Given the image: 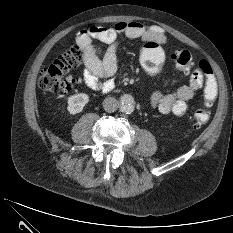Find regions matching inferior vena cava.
<instances>
[{
    "label": "inferior vena cava",
    "instance_id": "obj_1",
    "mask_svg": "<svg viewBox=\"0 0 233 233\" xmlns=\"http://www.w3.org/2000/svg\"><path fill=\"white\" fill-rule=\"evenodd\" d=\"M118 101L113 97H107L103 101V108L108 113H113L118 108Z\"/></svg>",
    "mask_w": 233,
    "mask_h": 233
}]
</instances>
